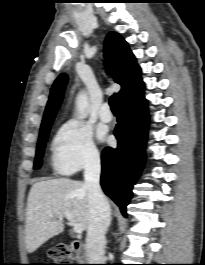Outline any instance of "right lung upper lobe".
Returning <instances> with one entry per match:
<instances>
[{
	"label": "right lung upper lobe",
	"instance_id": "obj_1",
	"mask_svg": "<svg viewBox=\"0 0 205 265\" xmlns=\"http://www.w3.org/2000/svg\"><path fill=\"white\" fill-rule=\"evenodd\" d=\"M104 54L114 81L122 87L117 95L119 107L128 106L139 100L144 94V83L140 75L141 69L126 41L118 33L110 32L105 40ZM67 81L68 77L65 74H61L55 80L42 120L41 130L52 125L60 107Z\"/></svg>",
	"mask_w": 205,
	"mask_h": 265
}]
</instances>
